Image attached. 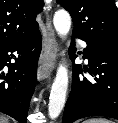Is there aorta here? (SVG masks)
Segmentation results:
<instances>
[{"instance_id": "obj_1", "label": "aorta", "mask_w": 118, "mask_h": 123, "mask_svg": "<svg viewBox=\"0 0 118 123\" xmlns=\"http://www.w3.org/2000/svg\"><path fill=\"white\" fill-rule=\"evenodd\" d=\"M53 24L57 33L63 38L65 37L71 27L70 14L61 9L55 12L53 17ZM68 90V70L67 67L60 64L51 88L48 104V115L50 119L57 118L66 101Z\"/></svg>"}]
</instances>
